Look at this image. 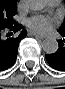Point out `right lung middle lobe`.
<instances>
[{"label": "right lung middle lobe", "mask_w": 65, "mask_h": 89, "mask_svg": "<svg viewBox=\"0 0 65 89\" xmlns=\"http://www.w3.org/2000/svg\"><path fill=\"white\" fill-rule=\"evenodd\" d=\"M17 12V0H0V29L16 24L13 16Z\"/></svg>", "instance_id": "1"}]
</instances>
